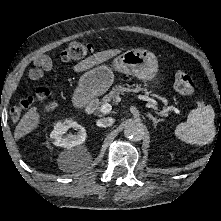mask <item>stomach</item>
I'll return each mask as SVG.
<instances>
[{
  "mask_svg": "<svg viewBox=\"0 0 221 221\" xmlns=\"http://www.w3.org/2000/svg\"><path fill=\"white\" fill-rule=\"evenodd\" d=\"M112 68L143 81H151L158 71V61L149 50L130 49L113 60ZM112 68L102 64L86 71L79 79L75 95L88 102L104 94L114 81Z\"/></svg>",
  "mask_w": 221,
  "mask_h": 221,
  "instance_id": "obj_1",
  "label": "stomach"
}]
</instances>
